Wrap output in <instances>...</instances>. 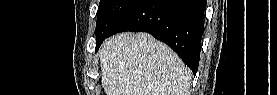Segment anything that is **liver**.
I'll return each instance as SVG.
<instances>
[{
  "label": "liver",
  "mask_w": 277,
  "mask_h": 95,
  "mask_svg": "<svg viewBox=\"0 0 277 95\" xmlns=\"http://www.w3.org/2000/svg\"><path fill=\"white\" fill-rule=\"evenodd\" d=\"M106 95H189L192 74L178 55L148 33H121L100 51Z\"/></svg>",
  "instance_id": "1"
}]
</instances>
